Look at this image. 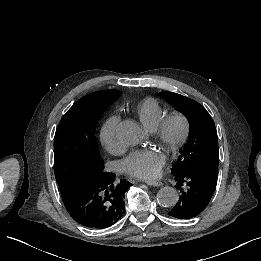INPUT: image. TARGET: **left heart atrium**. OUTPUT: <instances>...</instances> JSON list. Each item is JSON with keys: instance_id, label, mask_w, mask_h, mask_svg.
Segmentation results:
<instances>
[{"instance_id": "1", "label": "left heart atrium", "mask_w": 261, "mask_h": 261, "mask_svg": "<svg viewBox=\"0 0 261 261\" xmlns=\"http://www.w3.org/2000/svg\"><path fill=\"white\" fill-rule=\"evenodd\" d=\"M166 164V158L156 148L138 149L130 152L119 162V168L124 173L142 178H157Z\"/></svg>"}]
</instances>
